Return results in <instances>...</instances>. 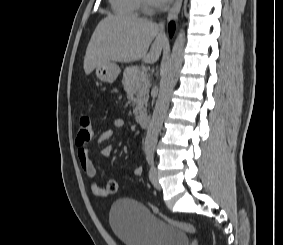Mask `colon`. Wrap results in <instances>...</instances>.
I'll use <instances>...</instances> for the list:
<instances>
[{
    "mask_svg": "<svg viewBox=\"0 0 283 245\" xmlns=\"http://www.w3.org/2000/svg\"><path fill=\"white\" fill-rule=\"evenodd\" d=\"M93 137V126H92V120L91 117L88 114H82L79 117V126H78V130H77V136H76V143L79 145L88 143ZM118 190V183L115 179H110L107 182L105 191L107 193V195H112L115 194ZM155 212L157 214H159L158 210L155 209ZM167 223H169L170 225L185 231L187 233L190 234H197L199 231L197 229V227H195L194 225L187 223V222H183V221H179V220H175L169 217H166L164 215L159 214Z\"/></svg>",
    "mask_w": 283,
    "mask_h": 245,
    "instance_id": "1",
    "label": "colon"
}]
</instances>
